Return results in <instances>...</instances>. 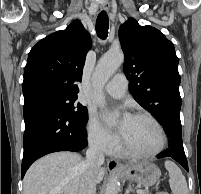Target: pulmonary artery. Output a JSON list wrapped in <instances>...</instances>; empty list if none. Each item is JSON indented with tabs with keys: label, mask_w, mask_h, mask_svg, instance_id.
Returning a JSON list of instances; mask_svg holds the SVG:
<instances>
[{
	"label": "pulmonary artery",
	"mask_w": 201,
	"mask_h": 194,
	"mask_svg": "<svg viewBox=\"0 0 201 194\" xmlns=\"http://www.w3.org/2000/svg\"><path fill=\"white\" fill-rule=\"evenodd\" d=\"M127 90V79L123 74H117L105 86L104 91L113 98H122Z\"/></svg>",
	"instance_id": "e3ab8cb5"
}]
</instances>
